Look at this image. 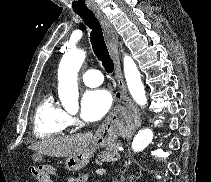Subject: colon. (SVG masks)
Here are the masks:
<instances>
[{
	"label": "colon",
	"instance_id": "1",
	"mask_svg": "<svg viewBox=\"0 0 211 182\" xmlns=\"http://www.w3.org/2000/svg\"><path fill=\"white\" fill-rule=\"evenodd\" d=\"M30 171L38 181L43 182H51L52 177L55 175L54 169L49 166L31 167Z\"/></svg>",
	"mask_w": 211,
	"mask_h": 182
}]
</instances>
